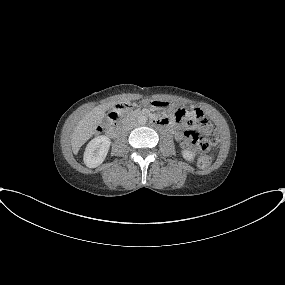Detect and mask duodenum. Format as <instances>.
I'll use <instances>...</instances> for the list:
<instances>
[{
  "instance_id": "duodenum-1",
  "label": "duodenum",
  "mask_w": 285,
  "mask_h": 285,
  "mask_svg": "<svg viewBox=\"0 0 285 285\" xmlns=\"http://www.w3.org/2000/svg\"><path fill=\"white\" fill-rule=\"evenodd\" d=\"M117 117V115H114V119H116ZM154 122L155 124L161 127H166L169 125L168 121L165 118H154ZM108 129L112 134L116 135L120 132L121 125L115 121H111L108 124Z\"/></svg>"
}]
</instances>
